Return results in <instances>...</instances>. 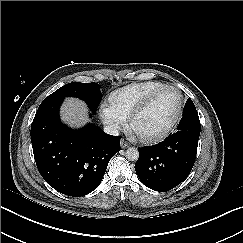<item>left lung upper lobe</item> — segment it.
<instances>
[{"label":"left lung upper lobe","mask_w":243,"mask_h":243,"mask_svg":"<svg viewBox=\"0 0 243 243\" xmlns=\"http://www.w3.org/2000/svg\"><path fill=\"white\" fill-rule=\"evenodd\" d=\"M190 115H197V111H196L194 103L189 98L187 100V103H186L185 108H184L183 117L184 116H190Z\"/></svg>","instance_id":"5c2ea615"}]
</instances>
